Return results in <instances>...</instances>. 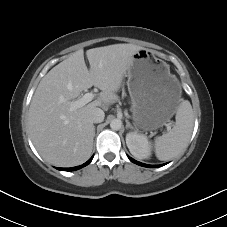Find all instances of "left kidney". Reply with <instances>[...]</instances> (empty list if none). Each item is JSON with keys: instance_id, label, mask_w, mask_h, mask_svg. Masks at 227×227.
<instances>
[{"instance_id": "5707ae66", "label": "left kidney", "mask_w": 227, "mask_h": 227, "mask_svg": "<svg viewBox=\"0 0 227 227\" xmlns=\"http://www.w3.org/2000/svg\"><path fill=\"white\" fill-rule=\"evenodd\" d=\"M126 144L133 156L139 159L149 158L151 155V146L146 136L136 132H130L126 135Z\"/></svg>"}]
</instances>
